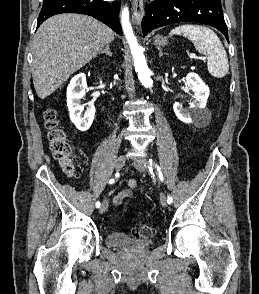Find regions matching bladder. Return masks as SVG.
<instances>
[{"instance_id": "bladder-1", "label": "bladder", "mask_w": 259, "mask_h": 294, "mask_svg": "<svg viewBox=\"0 0 259 294\" xmlns=\"http://www.w3.org/2000/svg\"><path fill=\"white\" fill-rule=\"evenodd\" d=\"M105 241L108 246L118 247L123 249H141L152 242L151 240L133 237L122 232H110L106 235Z\"/></svg>"}]
</instances>
